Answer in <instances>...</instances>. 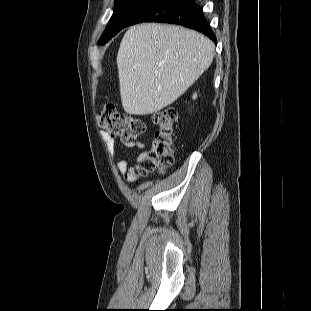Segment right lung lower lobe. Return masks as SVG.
<instances>
[{
	"label": "right lung lower lobe",
	"mask_w": 311,
	"mask_h": 311,
	"mask_svg": "<svg viewBox=\"0 0 311 311\" xmlns=\"http://www.w3.org/2000/svg\"><path fill=\"white\" fill-rule=\"evenodd\" d=\"M141 22L182 25L203 33L216 43L214 33L194 0H156L137 13L127 26Z\"/></svg>",
	"instance_id": "obj_1"
}]
</instances>
